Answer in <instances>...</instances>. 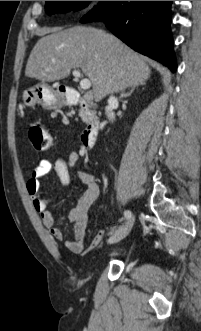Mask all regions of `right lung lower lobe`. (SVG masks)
<instances>
[{
  "label": "right lung lower lobe",
  "mask_w": 201,
  "mask_h": 331,
  "mask_svg": "<svg viewBox=\"0 0 201 331\" xmlns=\"http://www.w3.org/2000/svg\"><path fill=\"white\" fill-rule=\"evenodd\" d=\"M172 1H100L81 22L102 21L135 51L176 71L170 32Z\"/></svg>",
  "instance_id": "right-lung-lower-lobe-1"
}]
</instances>
